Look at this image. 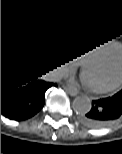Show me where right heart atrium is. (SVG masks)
<instances>
[{"mask_svg":"<svg viewBox=\"0 0 122 154\" xmlns=\"http://www.w3.org/2000/svg\"><path fill=\"white\" fill-rule=\"evenodd\" d=\"M67 62H69V60L67 59V57L65 56H61V58L59 59V61L56 62L55 67L58 70H61L64 67V64L67 65Z\"/></svg>","mask_w":122,"mask_h":154,"instance_id":"1","label":"right heart atrium"}]
</instances>
